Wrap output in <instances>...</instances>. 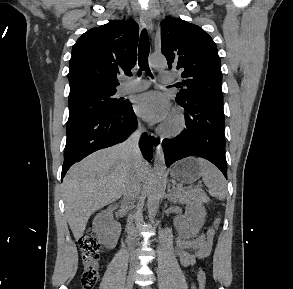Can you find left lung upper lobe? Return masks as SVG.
<instances>
[{"instance_id": "obj_1", "label": "left lung upper lobe", "mask_w": 293, "mask_h": 289, "mask_svg": "<svg viewBox=\"0 0 293 289\" xmlns=\"http://www.w3.org/2000/svg\"><path fill=\"white\" fill-rule=\"evenodd\" d=\"M161 51L168 67L183 78L176 101L206 99L223 104L221 61L212 38L199 26L166 17L161 22Z\"/></svg>"}]
</instances>
